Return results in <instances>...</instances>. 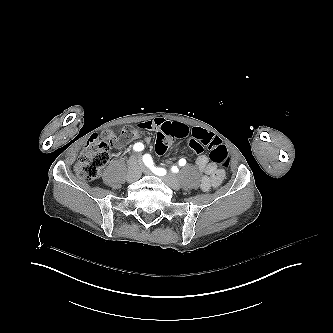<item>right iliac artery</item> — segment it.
I'll return each mask as SVG.
<instances>
[{
    "instance_id": "obj_1",
    "label": "right iliac artery",
    "mask_w": 333,
    "mask_h": 333,
    "mask_svg": "<svg viewBox=\"0 0 333 333\" xmlns=\"http://www.w3.org/2000/svg\"><path fill=\"white\" fill-rule=\"evenodd\" d=\"M135 151H141L144 149V145L142 143H136L133 147Z\"/></svg>"
}]
</instances>
